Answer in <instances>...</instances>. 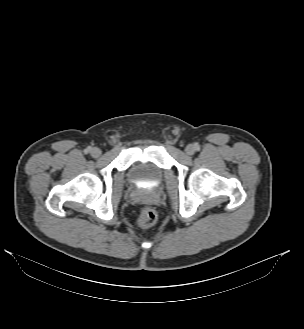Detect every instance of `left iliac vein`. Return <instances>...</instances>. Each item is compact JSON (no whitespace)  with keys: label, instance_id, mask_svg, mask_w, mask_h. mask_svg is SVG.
<instances>
[{"label":"left iliac vein","instance_id":"obj_1","mask_svg":"<svg viewBox=\"0 0 304 329\" xmlns=\"http://www.w3.org/2000/svg\"><path fill=\"white\" fill-rule=\"evenodd\" d=\"M185 152L187 155H193L195 152V147L193 145L189 144L186 146Z\"/></svg>","mask_w":304,"mask_h":329}]
</instances>
